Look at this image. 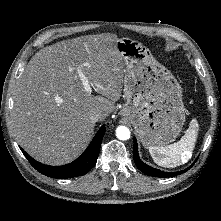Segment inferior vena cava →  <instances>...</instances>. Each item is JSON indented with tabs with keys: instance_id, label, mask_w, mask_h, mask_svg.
Listing matches in <instances>:
<instances>
[{
	"instance_id": "inferior-vena-cava-1",
	"label": "inferior vena cava",
	"mask_w": 221,
	"mask_h": 221,
	"mask_svg": "<svg viewBox=\"0 0 221 221\" xmlns=\"http://www.w3.org/2000/svg\"><path fill=\"white\" fill-rule=\"evenodd\" d=\"M101 112L95 110V111H92L90 113V120L93 121V122H97L98 120L101 119Z\"/></svg>"
}]
</instances>
